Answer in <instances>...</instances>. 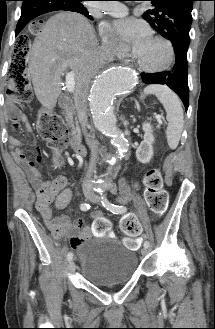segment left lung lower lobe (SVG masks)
Returning <instances> with one entry per match:
<instances>
[{
    "label": "left lung lower lobe",
    "mask_w": 215,
    "mask_h": 329,
    "mask_svg": "<svg viewBox=\"0 0 215 329\" xmlns=\"http://www.w3.org/2000/svg\"><path fill=\"white\" fill-rule=\"evenodd\" d=\"M176 54L175 65L171 71L158 73H142V80L146 84H165L178 94L187 110L189 105L188 87V45L182 43L172 44Z\"/></svg>",
    "instance_id": "1"
}]
</instances>
